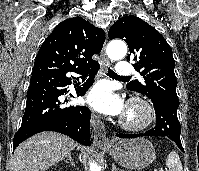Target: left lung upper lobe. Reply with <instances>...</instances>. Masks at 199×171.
Instances as JSON below:
<instances>
[{
	"label": "left lung upper lobe",
	"instance_id": "5c2ea615",
	"mask_svg": "<svg viewBox=\"0 0 199 171\" xmlns=\"http://www.w3.org/2000/svg\"><path fill=\"white\" fill-rule=\"evenodd\" d=\"M108 36L110 39H124L128 44L130 55L133 54L134 60H138L133 66L138 71L142 69L141 75L145 82L131 81L127 84L129 90L141 93L152 101H166L179 105L172 50L154 27L130 15L115 22Z\"/></svg>",
	"mask_w": 199,
	"mask_h": 171
}]
</instances>
